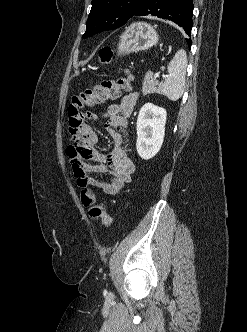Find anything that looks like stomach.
Segmentation results:
<instances>
[{"label":"stomach","instance_id":"1","mask_svg":"<svg viewBox=\"0 0 247 332\" xmlns=\"http://www.w3.org/2000/svg\"><path fill=\"white\" fill-rule=\"evenodd\" d=\"M159 36L156 30L144 22H136L126 28L118 44V54L126 55L149 49L156 45Z\"/></svg>","mask_w":247,"mask_h":332}]
</instances>
